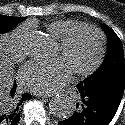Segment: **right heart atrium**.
Wrapping results in <instances>:
<instances>
[{
  "mask_svg": "<svg viewBox=\"0 0 125 125\" xmlns=\"http://www.w3.org/2000/svg\"><path fill=\"white\" fill-rule=\"evenodd\" d=\"M29 28L21 25L13 30L7 41V48L14 60H21L28 51Z\"/></svg>",
  "mask_w": 125,
  "mask_h": 125,
  "instance_id": "obj_1",
  "label": "right heart atrium"
}]
</instances>
